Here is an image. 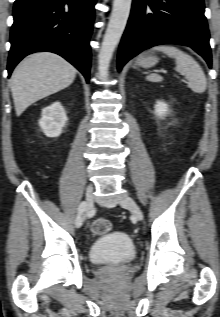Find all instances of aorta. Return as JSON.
I'll return each mask as SVG.
<instances>
[{"label":"aorta","mask_w":220,"mask_h":317,"mask_svg":"<svg viewBox=\"0 0 220 317\" xmlns=\"http://www.w3.org/2000/svg\"><path fill=\"white\" fill-rule=\"evenodd\" d=\"M132 0H114L112 13L98 55V73L101 79L108 76L113 53L125 30Z\"/></svg>","instance_id":"aorta-1"}]
</instances>
